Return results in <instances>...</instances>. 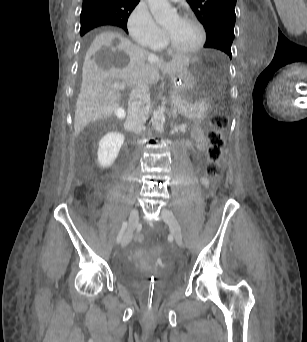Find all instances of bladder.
<instances>
[{
    "mask_svg": "<svg viewBox=\"0 0 307 342\" xmlns=\"http://www.w3.org/2000/svg\"><path fill=\"white\" fill-rule=\"evenodd\" d=\"M151 273L135 264H125L119 274L120 281L138 294H149L151 289L156 297H161L173 289L179 282V277L170 275L165 279L151 281Z\"/></svg>",
    "mask_w": 307,
    "mask_h": 342,
    "instance_id": "1",
    "label": "bladder"
}]
</instances>
